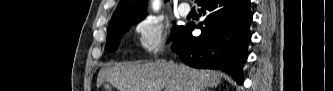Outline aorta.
Returning <instances> with one entry per match:
<instances>
[{"instance_id": "762f6f07", "label": "aorta", "mask_w": 333, "mask_h": 91, "mask_svg": "<svg viewBox=\"0 0 333 91\" xmlns=\"http://www.w3.org/2000/svg\"><path fill=\"white\" fill-rule=\"evenodd\" d=\"M158 6H159V3H157V2H156V3H154V8H155V9H157V8H158Z\"/></svg>"}]
</instances>
